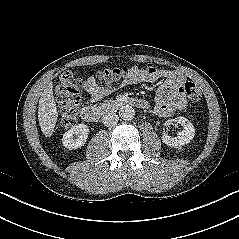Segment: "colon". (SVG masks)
<instances>
[{
    "label": "colon",
    "mask_w": 239,
    "mask_h": 239,
    "mask_svg": "<svg viewBox=\"0 0 239 239\" xmlns=\"http://www.w3.org/2000/svg\"><path fill=\"white\" fill-rule=\"evenodd\" d=\"M132 69L127 67L109 68L96 72V77L105 86L119 83L132 75ZM80 80L73 72H65L61 75L58 86L56 87V96L60 108V123L63 127H70L75 124L81 102ZM181 89L187 94L193 104L201 100L199 88L191 83H185Z\"/></svg>",
    "instance_id": "colon-1"
}]
</instances>
